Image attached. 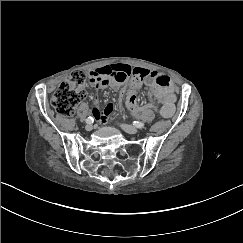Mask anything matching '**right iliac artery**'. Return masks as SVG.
<instances>
[{
	"mask_svg": "<svg viewBox=\"0 0 243 243\" xmlns=\"http://www.w3.org/2000/svg\"><path fill=\"white\" fill-rule=\"evenodd\" d=\"M93 118L92 117H88L87 119H86V123H88V124H90V123H92L93 122Z\"/></svg>",
	"mask_w": 243,
	"mask_h": 243,
	"instance_id": "obj_1",
	"label": "right iliac artery"
}]
</instances>
